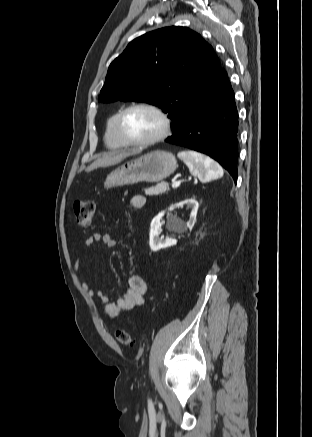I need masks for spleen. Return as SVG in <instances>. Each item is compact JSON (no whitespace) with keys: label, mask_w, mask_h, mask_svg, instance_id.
I'll list each match as a JSON object with an SVG mask.
<instances>
[{"label":"spleen","mask_w":312,"mask_h":437,"mask_svg":"<svg viewBox=\"0 0 312 437\" xmlns=\"http://www.w3.org/2000/svg\"><path fill=\"white\" fill-rule=\"evenodd\" d=\"M178 157L188 166L191 174L201 181L207 182L223 176V169L218 163L196 151H182Z\"/></svg>","instance_id":"3e777b00"}]
</instances>
